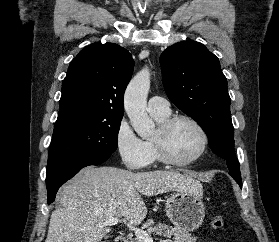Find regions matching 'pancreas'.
<instances>
[{
  "label": "pancreas",
  "mask_w": 279,
  "mask_h": 242,
  "mask_svg": "<svg viewBox=\"0 0 279 242\" xmlns=\"http://www.w3.org/2000/svg\"><path fill=\"white\" fill-rule=\"evenodd\" d=\"M155 234L167 238H173L174 242H196L197 237L192 236L185 230L171 227L166 224L159 223L153 227L148 228V234ZM130 242H142L139 238H134Z\"/></svg>",
  "instance_id": "cf45deb5"
}]
</instances>
